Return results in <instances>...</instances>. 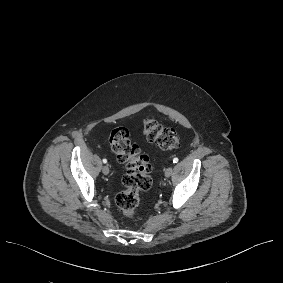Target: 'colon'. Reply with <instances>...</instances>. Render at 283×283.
<instances>
[{"label":"colon","mask_w":283,"mask_h":283,"mask_svg":"<svg viewBox=\"0 0 283 283\" xmlns=\"http://www.w3.org/2000/svg\"><path fill=\"white\" fill-rule=\"evenodd\" d=\"M143 133L149 142L162 149L173 150L180 146L177 132L164 127L155 118L144 120ZM109 144L118 161L126 167L122 178L124 189L116 195L115 203L126 218H134L138 214L140 193L152 186L149 157L131 141L129 131L125 127H117L111 131Z\"/></svg>","instance_id":"obj_1"}]
</instances>
